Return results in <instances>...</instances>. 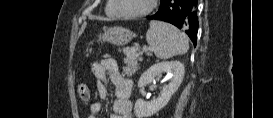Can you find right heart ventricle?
I'll use <instances>...</instances> for the list:
<instances>
[{
  "label": "right heart ventricle",
  "instance_id": "obj_1",
  "mask_svg": "<svg viewBox=\"0 0 273 118\" xmlns=\"http://www.w3.org/2000/svg\"><path fill=\"white\" fill-rule=\"evenodd\" d=\"M105 13L108 15V16H112V17H117L119 16V13L117 12V10L115 9L114 7V3H113V0H109L107 2V5L105 7Z\"/></svg>",
  "mask_w": 273,
  "mask_h": 118
}]
</instances>
